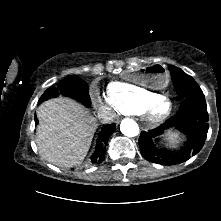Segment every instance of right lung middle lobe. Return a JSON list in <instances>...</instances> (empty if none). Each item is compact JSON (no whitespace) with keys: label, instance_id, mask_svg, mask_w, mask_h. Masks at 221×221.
I'll list each match as a JSON object with an SVG mask.
<instances>
[{"label":"right lung middle lobe","instance_id":"right-lung-middle-lobe-1","mask_svg":"<svg viewBox=\"0 0 221 221\" xmlns=\"http://www.w3.org/2000/svg\"><path fill=\"white\" fill-rule=\"evenodd\" d=\"M59 90L62 94L73 97L86 105L90 103L88 85L76 76H71L62 81L59 85ZM57 95V89L55 87H50L41 96L39 103Z\"/></svg>","mask_w":221,"mask_h":221}]
</instances>
